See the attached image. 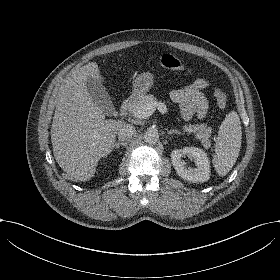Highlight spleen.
Here are the masks:
<instances>
[{
    "label": "spleen",
    "mask_w": 280,
    "mask_h": 280,
    "mask_svg": "<svg viewBox=\"0 0 280 280\" xmlns=\"http://www.w3.org/2000/svg\"><path fill=\"white\" fill-rule=\"evenodd\" d=\"M242 141V128L238 114L231 111L218 132L213 163L216 172L224 176L235 164Z\"/></svg>",
    "instance_id": "spleen-1"
}]
</instances>
